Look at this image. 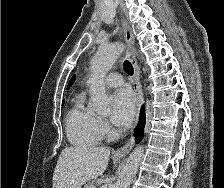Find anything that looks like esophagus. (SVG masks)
Wrapping results in <instances>:
<instances>
[{
  "instance_id": "1",
  "label": "esophagus",
  "mask_w": 224,
  "mask_h": 188,
  "mask_svg": "<svg viewBox=\"0 0 224 188\" xmlns=\"http://www.w3.org/2000/svg\"><path fill=\"white\" fill-rule=\"evenodd\" d=\"M123 30H124L125 41L127 44L126 57L130 60L134 69L133 89L136 94V112H137V118H138L144 99H143V92H142V87L140 83L139 67H138L137 60L134 53V36L130 26L128 25L125 19H123ZM133 145H134V136L132 132V135L130 139L128 140V142L123 147L118 149L115 152V155L116 156L126 155L132 149Z\"/></svg>"
}]
</instances>
